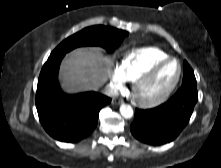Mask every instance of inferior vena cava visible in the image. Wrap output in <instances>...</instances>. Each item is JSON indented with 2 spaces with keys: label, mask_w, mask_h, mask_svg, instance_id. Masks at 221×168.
<instances>
[{
  "label": "inferior vena cava",
  "mask_w": 221,
  "mask_h": 168,
  "mask_svg": "<svg viewBox=\"0 0 221 168\" xmlns=\"http://www.w3.org/2000/svg\"><path fill=\"white\" fill-rule=\"evenodd\" d=\"M103 93L109 97L118 96V90L109 85L104 88Z\"/></svg>",
  "instance_id": "1"
}]
</instances>
